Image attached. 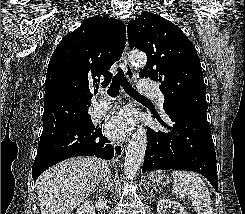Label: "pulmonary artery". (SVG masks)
<instances>
[{
    "instance_id": "obj_1",
    "label": "pulmonary artery",
    "mask_w": 245,
    "mask_h": 214,
    "mask_svg": "<svg viewBox=\"0 0 245 214\" xmlns=\"http://www.w3.org/2000/svg\"><path fill=\"white\" fill-rule=\"evenodd\" d=\"M138 89L140 93L146 97H151L155 99L159 105V107H163L164 104V96L158 90V87L155 83L150 80L142 79L139 82ZM113 105V101L107 97H101L95 104V115L102 116L105 114Z\"/></svg>"
}]
</instances>
